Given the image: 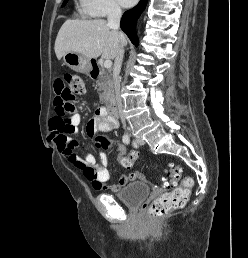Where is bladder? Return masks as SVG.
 Segmentation results:
<instances>
[{
    "label": "bladder",
    "mask_w": 248,
    "mask_h": 258,
    "mask_svg": "<svg viewBox=\"0 0 248 258\" xmlns=\"http://www.w3.org/2000/svg\"><path fill=\"white\" fill-rule=\"evenodd\" d=\"M149 195V187L142 182H134L114 194L128 208H138Z\"/></svg>",
    "instance_id": "31cf9c89"
}]
</instances>
